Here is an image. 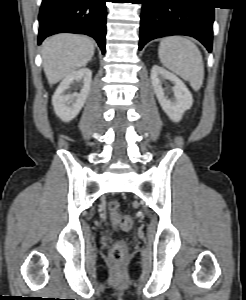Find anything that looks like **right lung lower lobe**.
Listing matches in <instances>:
<instances>
[{"instance_id":"1","label":"right lung lower lobe","mask_w":246,"mask_h":300,"mask_svg":"<svg viewBox=\"0 0 246 300\" xmlns=\"http://www.w3.org/2000/svg\"><path fill=\"white\" fill-rule=\"evenodd\" d=\"M106 0H43L38 44L48 36L79 33L93 37L105 53Z\"/></svg>"}]
</instances>
